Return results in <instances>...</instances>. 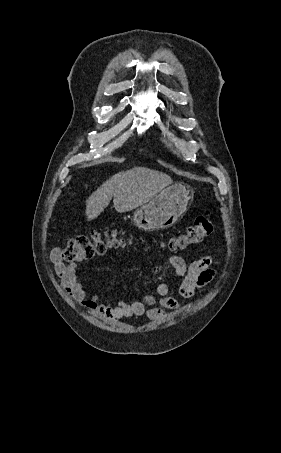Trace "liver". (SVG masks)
I'll return each mask as SVG.
<instances>
[{
	"mask_svg": "<svg viewBox=\"0 0 281 453\" xmlns=\"http://www.w3.org/2000/svg\"><path fill=\"white\" fill-rule=\"evenodd\" d=\"M173 182L171 176L146 166H134L110 176L86 200L87 220L101 214L112 200L117 212L133 210L156 196L162 188Z\"/></svg>",
	"mask_w": 281,
	"mask_h": 453,
	"instance_id": "1",
	"label": "liver"
}]
</instances>
